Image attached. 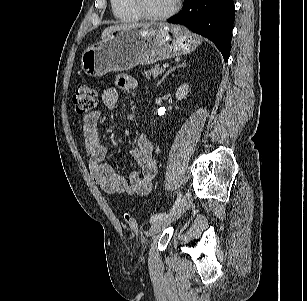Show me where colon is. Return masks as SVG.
Segmentation results:
<instances>
[{"label": "colon", "mask_w": 307, "mask_h": 301, "mask_svg": "<svg viewBox=\"0 0 307 301\" xmlns=\"http://www.w3.org/2000/svg\"><path fill=\"white\" fill-rule=\"evenodd\" d=\"M72 103L75 114L79 117H86L93 112L97 103V93L93 86L88 84H79L72 96ZM125 220L129 226L135 230L136 222L134 218L127 212Z\"/></svg>", "instance_id": "obj_1"}]
</instances>
